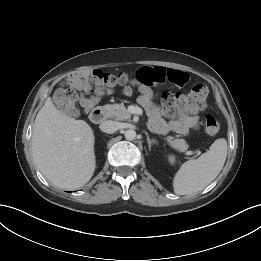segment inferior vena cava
Instances as JSON below:
<instances>
[{
  "instance_id": "602c4592",
  "label": "inferior vena cava",
  "mask_w": 261,
  "mask_h": 261,
  "mask_svg": "<svg viewBox=\"0 0 261 261\" xmlns=\"http://www.w3.org/2000/svg\"><path fill=\"white\" fill-rule=\"evenodd\" d=\"M99 127L101 131L112 134L117 131L120 126L119 123L116 121L107 120L105 122H102Z\"/></svg>"
}]
</instances>
